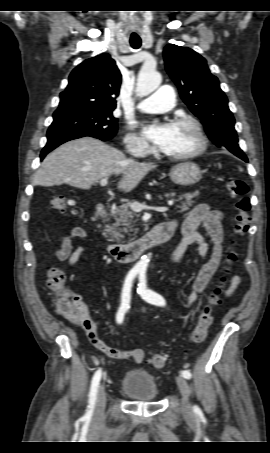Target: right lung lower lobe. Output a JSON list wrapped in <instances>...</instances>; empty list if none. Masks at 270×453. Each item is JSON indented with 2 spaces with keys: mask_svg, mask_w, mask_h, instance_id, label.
<instances>
[{
  "mask_svg": "<svg viewBox=\"0 0 270 453\" xmlns=\"http://www.w3.org/2000/svg\"><path fill=\"white\" fill-rule=\"evenodd\" d=\"M80 137H62V136H51L48 137V142L46 146L43 148L41 151L40 158L43 160V158L48 154L51 150L55 149L57 146L60 144L67 142L69 140L77 139Z\"/></svg>",
  "mask_w": 270,
  "mask_h": 453,
  "instance_id": "right-lung-lower-lobe-1",
  "label": "right lung lower lobe"
}]
</instances>
